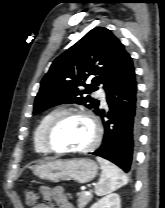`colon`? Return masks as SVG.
<instances>
[{
    "label": "colon",
    "mask_w": 165,
    "mask_h": 208,
    "mask_svg": "<svg viewBox=\"0 0 165 208\" xmlns=\"http://www.w3.org/2000/svg\"><path fill=\"white\" fill-rule=\"evenodd\" d=\"M37 198V193L33 189L25 190V199L28 205L33 206L36 203Z\"/></svg>",
    "instance_id": "colon-1"
}]
</instances>
